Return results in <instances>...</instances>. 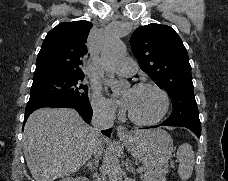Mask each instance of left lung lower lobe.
Wrapping results in <instances>:
<instances>
[{
	"label": "left lung lower lobe",
	"mask_w": 228,
	"mask_h": 181,
	"mask_svg": "<svg viewBox=\"0 0 228 181\" xmlns=\"http://www.w3.org/2000/svg\"><path fill=\"white\" fill-rule=\"evenodd\" d=\"M161 125H167V126H171L169 124H166V123H162L158 126H161ZM158 126H153V127H158ZM188 129H190L197 137H200V134H201V128H197V127H186Z\"/></svg>",
	"instance_id": "0a47b994"
}]
</instances>
